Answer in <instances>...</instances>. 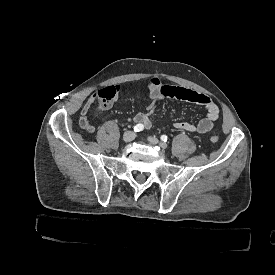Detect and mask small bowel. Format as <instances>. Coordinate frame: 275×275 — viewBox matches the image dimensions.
Here are the masks:
<instances>
[{"label": "small bowel", "mask_w": 275, "mask_h": 275, "mask_svg": "<svg viewBox=\"0 0 275 275\" xmlns=\"http://www.w3.org/2000/svg\"><path fill=\"white\" fill-rule=\"evenodd\" d=\"M145 85L148 89L150 86H157L159 91L158 94L154 96L149 94V102L146 110L143 112H139L134 116V122L144 129H150L152 127L157 107L161 100L165 97H172L184 101L199 103L203 105L206 110V116L203 119H201L198 123L188 121L176 122L174 124V128L179 131L204 134L209 132L213 128L214 123L219 118V107L214 103V101L209 96L205 94L198 93L192 89L181 86L163 85L157 77H152L148 79ZM114 101L115 98L113 99L110 105H112ZM94 103L95 95L89 97L87 101L84 103L83 107L91 109Z\"/></svg>", "instance_id": "obj_1"}]
</instances>
